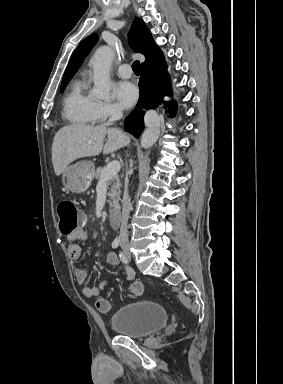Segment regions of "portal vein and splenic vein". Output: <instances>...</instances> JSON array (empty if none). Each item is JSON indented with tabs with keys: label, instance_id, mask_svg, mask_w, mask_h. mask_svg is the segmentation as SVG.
I'll return each mask as SVG.
<instances>
[{
	"label": "portal vein and splenic vein",
	"instance_id": "18ae733b",
	"mask_svg": "<svg viewBox=\"0 0 283 384\" xmlns=\"http://www.w3.org/2000/svg\"><path fill=\"white\" fill-rule=\"evenodd\" d=\"M120 168H121L120 162H117V160H113V162H110V164H107L106 168H104L102 172L100 182H106V180H111L113 176H117Z\"/></svg>",
	"mask_w": 283,
	"mask_h": 384
}]
</instances>
